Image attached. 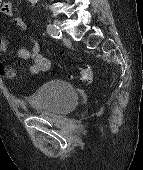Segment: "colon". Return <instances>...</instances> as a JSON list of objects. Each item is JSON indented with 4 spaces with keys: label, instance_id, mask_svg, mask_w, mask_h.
Wrapping results in <instances>:
<instances>
[{
    "label": "colon",
    "instance_id": "obj_1",
    "mask_svg": "<svg viewBox=\"0 0 143 170\" xmlns=\"http://www.w3.org/2000/svg\"><path fill=\"white\" fill-rule=\"evenodd\" d=\"M92 77V70L90 67L85 66L80 69L79 78L82 81H89Z\"/></svg>",
    "mask_w": 143,
    "mask_h": 170
}]
</instances>
